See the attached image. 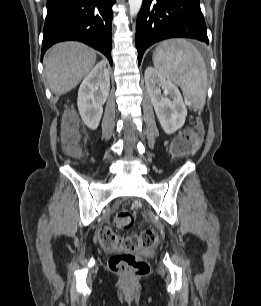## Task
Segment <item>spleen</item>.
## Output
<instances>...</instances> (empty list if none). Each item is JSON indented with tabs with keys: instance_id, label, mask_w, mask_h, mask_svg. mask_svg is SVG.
<instances>
[{
	"instance_id": "obj_1",
	"label": "spleen",
	"mask_w": 261,
	"mask_h": 306,
	"mask_svg": "<svg viewBox=\"0 0 261 306\" xmlns=\"http://www.w3.org/2000/svg\"><path fill=\"white\" fill-rule=\"evenodd\" d=\"M153 63L165 79L180 86L188 105L203 109L207 71L202 55L193 44L184 39L163 41L153 53Z\"/></svg>"
}]
</instances>
